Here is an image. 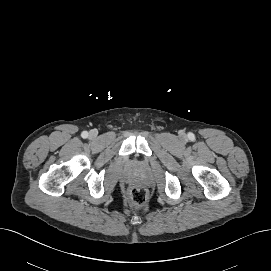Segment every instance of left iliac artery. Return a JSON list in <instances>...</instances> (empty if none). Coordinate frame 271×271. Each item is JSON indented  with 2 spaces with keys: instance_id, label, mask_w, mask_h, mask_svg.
Returning a JSON list of instances; mask_svg holds the SVG:
<instances>
[{
  "instance_id": "obj_1",
  "label": "left iliac artery",
  "mask_w": 271,
  "mask_h": 271,
  "mask_svg": "<svg viewBox=\"0 0 271 271\" xmlns=\"http://www.w3.org/2000/svg\"><path fill=\"white\" fill-rule=\"evenodd\" d=\"M188 137H189L190 140H193L194 139V134L193 133H189Z\"/></svg>"
}]
</instances>
